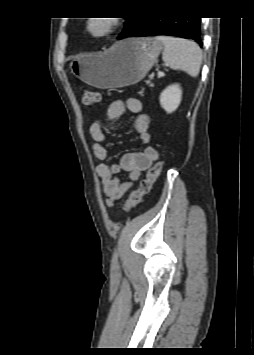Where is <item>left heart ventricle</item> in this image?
<instances>
[{
  "label": "left heart ventricle",
  "instance_id": "b2bd125f",
  "mask_svg": "<svg viewBox=\"0 0 254 355\" xmlns=\"http://www.w3.org/2000/svg\"><path fill=\"white\" fill-rule=\"evenodd\" d=\"M94 29H95V30H101V29H102V26L96 25V26L94 27Z\"/></svg>",
  "mask_w": 254,
  "mask_h": 355
}]
</instances>
